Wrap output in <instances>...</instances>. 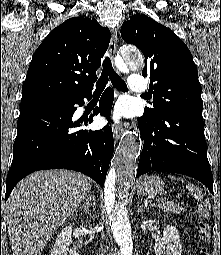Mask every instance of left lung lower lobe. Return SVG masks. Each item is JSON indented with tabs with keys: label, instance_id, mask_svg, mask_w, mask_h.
I'll return each mask as SVG.
<instances>
[{
	"label": "left lung lower lobe",
	"instance_id": "0a47b994",
	"mask_svg": "<svg viewBox=\"0 0 221 255\" xmlns=\"http://www.w3.org/2000/svg\"><path fill=\"white\" fill-rule=\"evenodd\" d=\"M138 125L144 145L137 177L152 170L175 172L199 180L213 193L203 120L167 112L157 119L144 115Z\"/></svg>",
	"mask_w": 221,
	"mask_h": 255
}]
</instances>
